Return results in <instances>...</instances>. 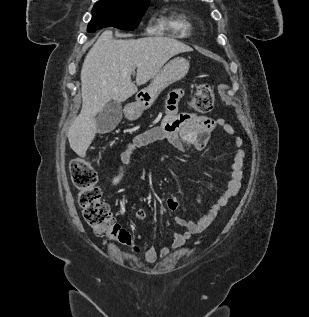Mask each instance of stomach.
I'll return each instance as SVG.
<instances>
[{
	"instance_id": "0dacf381",
	"label": "stomach",
	"mask_w": 309,
	"mask_h": 317,
	"mask_svg": "<svg viewBox=\"0 0 309 317\" xmlns=\"http://www.w3.org/2000/svg\"><path fill=\"white\" fill-rule=\"evenodd\" d=\"M188 71L189 61L185 58L176 57L169 61L153 78L150 85L137 93L136 102L125 107L126 118L138 119L143 110L150 108L165 88L183 79Z\"/></svg>"
}]
</instances>
